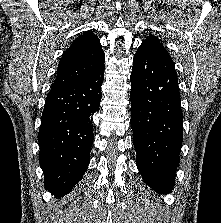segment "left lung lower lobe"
<instances>
[{
  "label": "left lung lower lobe",
  "instance_id": "1",
  "mask_svg": "<svg viewBox=\"0 0 221 223\" xmlns=\"http://www.w3.org/2000/svg\"><path fill=\"white\" fill-rule=\"evenodd\" d=\"M131 79V126L136 163L144 181L157 193H169L183 141L178 79L169 54L139 47Z\"/></svg>",
  "mask_w": 221,
  "mask_h": 223
}]
</instances>
